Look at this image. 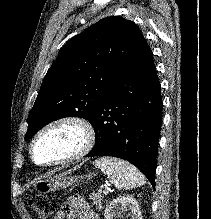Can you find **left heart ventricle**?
Masks as SVG:
<instances>
[{
    "label": "left heart ventricle",
    "instance_id": "b2bd125f",
    "mask_svg": "<svg viewBox=\"0 0 211 219\" xmlns=\"http://www.w3.org/2000/svg\"><path fill=\"white\" fill-rule=\"evenodd\" d=\"M80 141V131L71 125L52 128L37 141L34 147V157L39 163L66 158L76 151Z\"/></svg>",
    "mask_w": 211,
    "mask_h": 219
}]
</instances>
